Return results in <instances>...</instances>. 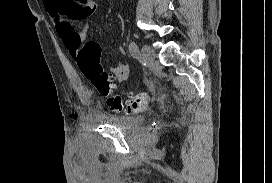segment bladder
<instances>
[{
    "mask_svg": "<svg viewBox=\"0 0 272 183\" xmlns=\"http://www.w3.org/2000/svg\"><path fill=\"white\" fill-rule=\"evenodd\" d=\"M102 123L123 130H134L142 124V118L138 116H125L112 114L101 118Z\"/></svg>",
    "mask_w": 272,
    "mask_h": 183,
    "instance_id": "obj_1",
    "label": "bladder"
}]
</instances>
